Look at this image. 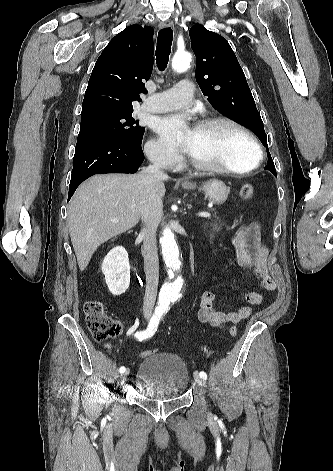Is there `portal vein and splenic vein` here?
I'll list each match as a JSON object with an SVG mask.
<instances>
[{
    "label": "portal vein and splenic vein",
    "instance_id": "1",
    "mask_svg": "<svg viewBox=\"0 0 333 471\" xmlns=\"http://www.w3.org/2000/svg\"><path fill=\"white\" fill-rule=\"evenodd\" d=\"M198 216L202 218H209L211 214L209 212H199ZM113 222H117V220H114Z\"/></svg>",
    "mask_w": 333,
    "mask_h": 471
}]
</instances>
